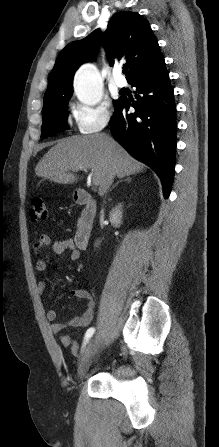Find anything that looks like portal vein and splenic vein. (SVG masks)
Returning a JSON list of instances; mask_svg holds the SVG:
<instances>
[{
	"label": "portal vein and splenic vein",
	"mask_w": 219,
	"mask_h": 447,
	"mask_svg": "<svg viewBox=\"0 0 219 447\" xmlns=\"http://www.w3.org/2000/svg\"><path fill=\"white\" fill-rule=\"evenodd\" d=\"M92 183L93 185L98 186V181L95 178L92 179Z\"/></svg>",
	"instance_id": "obj_1"
}]
</instances>
